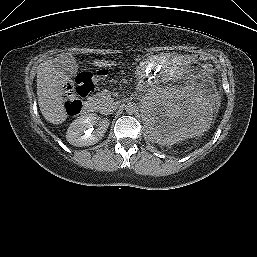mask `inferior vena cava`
Wrapping results in <instances>:
<instances>
[{
    "label": "inferior vena cava",
    "mask_w": 257,
    "mask_h": 257,
    "mask_svg": "<svg viewBox=\"0 0 257 257\" xmlns=\"http://www.w3.org/2000/svg\"><path fill=\"white\" fill-rule=\"evenodd\" d=\"M117 104L115 102L108 101L101 109L102 114H111L117 109Z\"/></svg>",
    "instance_id": "1"
}]
</instances>
